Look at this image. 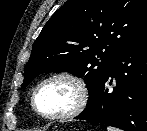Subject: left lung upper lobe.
<instances>
[{"instance_id": "5c2ea615", "label": "left lung upper lobe", "mask_w": 147, "mask_h": 131, "mask_svg": "<svg viewBox=\"0 0 147 131\" xmlns=\"http://www.w3.org/2000/svg\"><path fill=\"white\" fill-rule=\"evenodd\" d=\"M147 34V0H70L43 27L24 70L22 88L48 72L84 77L87 105L110 65Z\"/></svg>"}]
</instances>
